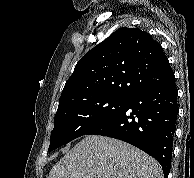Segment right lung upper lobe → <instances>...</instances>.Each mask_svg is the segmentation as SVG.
<instances>
[{
    "label": "right lung upper lobe",
    "instance_id": "cb5924a9",
    "mask_svg": "<svg viewBox=\"0 0 194 178\" xmlns=\"http://www.w3.org/2000/svg\"><path fill=\"white\" fill-rule=\"evenodd\" d=\"M173 75L161 45L149 33L123 27L80 59L64 86L58 109L98 96L129 98Z\"/></svg>",
    "mask_w": 194,
    "mask_h": 178
}]
</instances>
